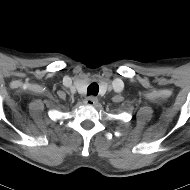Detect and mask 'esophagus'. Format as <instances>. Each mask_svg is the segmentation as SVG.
Returning <instances> with one entry per match:
<instances>
[{
  "label": "esophagus",
  "mask_w": 190,
  "mask_h": 190,
  "mask_svg": "<svg viewBox=\"0 0 190 190\" xmlns=\"http://www.w3.org/2000/svg\"><path fill=\"white\" fill-rule=\"evenodd\" d=\"M97 102L98 100L94 96H89L84 100V103L88 106H94Z\"/></svg>",
  "instance_id": "34e87169"
}]
</instances>
